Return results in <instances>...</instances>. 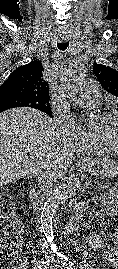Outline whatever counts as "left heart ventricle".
Listing matches in <instances>:
<instances>
[{"label":"left heart ventricle","instance_id":"1","mask_svg":"<svg viewBox=\"0 0 118 269\" xmlns=\"http://www.w3.org/2000/svg\"><path fill=\"white\" fill-rule=\"evenodd\" d=\"M92 132L118 142V115L110 119L99 117L94 122Z\"/></svg>","mask_w":118,"mask_h":269}]
</instances>
